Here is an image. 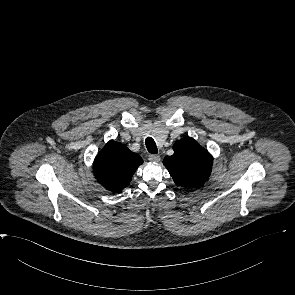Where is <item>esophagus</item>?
I'll return each instance as SVG.
<instances>
[{
  "label": "esophagus",
  "mask_w": 295,
  "mask_h": 295,
  "mask_svg": "<svg viewBox=\"0 0 295 295\" xmlns=\"http://www.w3.org/2000/svg\"><path fill=\"white\" fill-rule=\"evenodd\" d=\"M149 161L151 162H159L160 161V155H156V154H150L148 156Z\"/></svg>",
  "instance_id": "34e87169"
}]
</instances>
